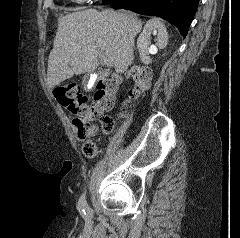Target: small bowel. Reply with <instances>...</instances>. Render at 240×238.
<instances>
[{"label": "small bowel", "mask_w": 240, "mask_h": 238, "mask_svg": "<svg viewBox=\"0 0 240 238\" xmlns=\"http://www.w3.org/2000/svg\"><path fill=\"white\" fill-rule=\"evenodd\" d=\"M88 120H89V121L93 120V117H92V116H91V117H88Z\"/></svg>", "instance_id": "small-bowel-1"}]
</instances>
